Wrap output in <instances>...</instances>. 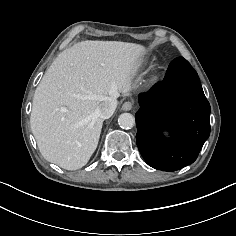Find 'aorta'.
I'll return each mask as SVG.
<instances>
[{
    "label": "aorta",
    "instance_id": "aorta-1",
    "mask_svg": "<svg viewBox=\"0 0 236 236\" xmlns=\"http://www.w3.org/2000/svg\"><path fill=\"white\" fill-rule=\"evenodd\" d=\"M118 124L123 129H130L135 125V118L130 113H122L118 118Z\"/></svg>",
    "mask_w": 236,
    "mask_h": 236
}]
</instances>
